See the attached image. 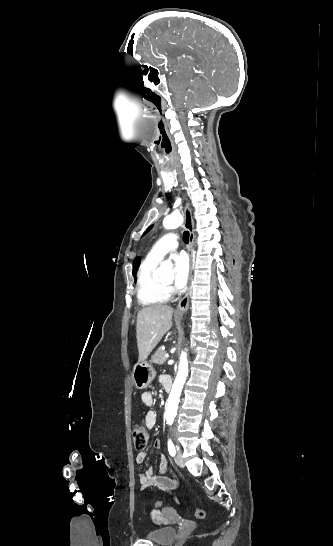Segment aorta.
I'll return each instance as SVG.
<instances>
[{"instance_id": "obj_1", "label": "aorta", "mask_w": 333, "mask_h": 546, "mask_svg": "<svg viewBox=\"0 0 333 546\" xmlns=\"http://www.w3.org/2000/svg\"><path fill=\"white\" fill-rule=\"evenodd\" d=\"M183 223V217L179 213H172L164 218L163 226L166 229H175L181 226ZM173 264L170 261H164L161 263L159 269H158V275L160 277L168 276L170 278L174 277L173 273ZM188 375V359L186 352H182L180 356V363L178 367V373L175 378L174 384L172 386V390L170 392V396L168 398L167 408L165 412V418L167 420L168 424H172L174 421V418L177 414L178 410V404H179V398L181 395V391L183 388V385L186 381V377Z\"/></svg>"}]
</instances>
